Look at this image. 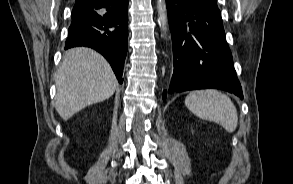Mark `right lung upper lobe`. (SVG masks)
<instances>
[{
  "instance_id": "cb5924a9",
  "label": "right lung upper lobe",
  "mask_w": 293,
  "mask_h": 184,
  "mask_svg": "<svg viewBox=\"0 0 293 184\" xmlns=\"http://www.w3.org/2000/svg\"><path fill=\"white\" fill-rule=\"evenodd\" d=\"M97 1H107V0H76L75 4H85V5L90 6L91 3H94Z\"/></svg>"
}]
</instances>
